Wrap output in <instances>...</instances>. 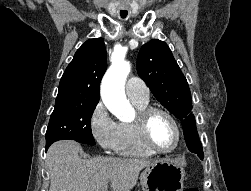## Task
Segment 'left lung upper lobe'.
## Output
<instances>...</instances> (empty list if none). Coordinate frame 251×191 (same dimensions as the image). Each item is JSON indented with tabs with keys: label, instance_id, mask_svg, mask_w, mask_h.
Returning a JSON list of instances; mask_svg holds the SVG:
<instances>
[{
	"label": "left lung upper lobe",
	"instance_id": "5c2ea615",
	"mask_svg": "<svg viewBox=\"0 0 251 191\" xmlns=\"http://www.w3.org/2000/svg\"><path fill=\"white\" fill-rule=\"evenodd\" d=\"M137 72L156 99L182 121L188 149L203 159L190 89L168 45L157 39L144 44L138 53Z\"/></svg>",
	"mask_w": 251,
	"mask_h": 191
}]
</instances>
